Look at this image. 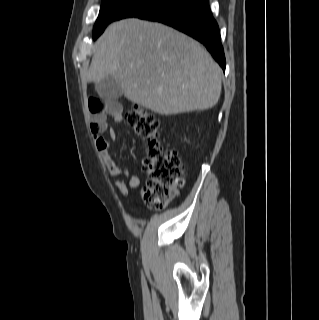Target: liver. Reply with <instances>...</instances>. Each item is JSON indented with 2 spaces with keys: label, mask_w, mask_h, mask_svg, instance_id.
<instances>
[{
  "label": "liver",
  "mask_w": 319,
  "mask_h": 320,
  "mask_svg": "<svg viewBox=\"0 0 319 320\" xmlns=\"http://www.w3.org/2000/svg\"><path fill=\"white\" fill-rule=\"evenodd\" d=\"M112 76L131 102L161 115L216 105L222 70L197 41L137 18L111 24L96 43L89 82Z\"/></svg>",
  "instance_id": "1"
}]
</instances>
